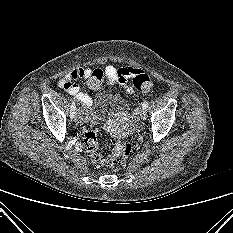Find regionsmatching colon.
Listing matches in <instances>:
<instances>
[{"label":"colon","instance_id":"5ec220e1","mask_svg":"<svg viewBox=\"0 0 233 233\" xmlns=\"http://www.w3.org/2000/svg\"><path fill=\"white\" fill-rule=\"evenodd\" d=\"M110 82V79L100 69H95L86 79L87 86L91 90L99 89L104 83ZM133 84L139 91L149 92L153 88V81L145 73H139L133 77ZM83 139L86 152L92 162L96 165L113 166L118 162H123L127 159L132 151V146L129 143L117 142L107 156L100 153L101 144L98 141L95 129L86 124L83 128Z\"/></svg>","mask_w":233,"mask_h":233}]
</instances>
